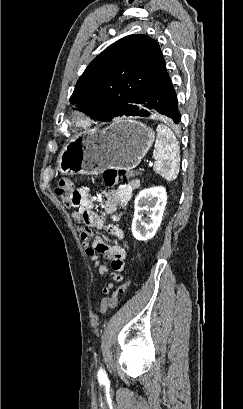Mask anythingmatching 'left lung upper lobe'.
<instances>
[{
    "label": "left lung upper lobe",
    "instance_id": "left-lung-upper-lobe-1",
    "mask_svg": "<svg viewBox=\"0 0 243 409\" xmlns=\"http://www.w3.org/2000/svg\"><path fill=\"white\" fill-rule=\"evenodd\" d=\"M167 75L158 43L143 34L129 35L110 45L88 65L70 102L88 108L91 117L100 120L135 104Z\"/></svg>",
    "mask_w": 243,
    "mask_h": 409
}]
</instances>
